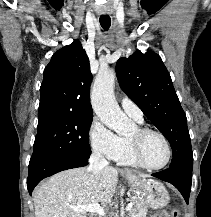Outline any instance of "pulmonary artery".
<instances>
[{"label": "pulmonary artery", "instance_id": "pulmonary-artery-1", "mask_svg": "<svg viewBox=\"0 0 211 217\" xmlns=\"http://www.w3.org/2000/svg\"><path fill=\"white\" fill-rule=\"evenodd\" d=\"M123 111L131 118L143 121V112L141 109L128 97H123L120 100Z\"/></svg>", "mask_w": 211, "mask_h": 217}]
</instances>
